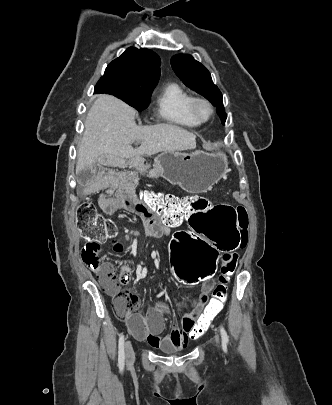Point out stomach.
<instances>
[{"instance_id":"stomach-1","label":"stomach","mask_w":332,"mask_h":405,"mask_svg":"<svg viewBox=\"0 0 332 405\" xmlns=\"http://www.w3.org/2000/svg\"><path fill=\"white\" fill-rule=\"evenodd\" d=\"M228 168L225 154L162 152L155 158V171L174 185L189 193L210 190Z\"/></svg>"}]
</instances>
